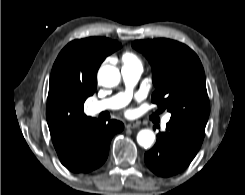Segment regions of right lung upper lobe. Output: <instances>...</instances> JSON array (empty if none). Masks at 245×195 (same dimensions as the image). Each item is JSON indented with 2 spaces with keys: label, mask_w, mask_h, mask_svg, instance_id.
I'll return each mask as SVG.
<instances>
[{
  "label": "right lung upper lobe",
  "mask_w": 245,
  "mask_h": 195,
  "mask_svg": "<svg viewBox=\"0 0 245 195\" xmlns=\"http://www.w3.org/2000/svg\"><path fill=\"white\" fill-rule=\"evenodd\" d=\"M116 40L89 37L71 41L58 55L50 75L46 118L59 157L69 154L95 118L84 114V102L97 87V71L118 50Z\"/></svg>",
  "instance_id": "cb5924a9"
}]
</instances>
